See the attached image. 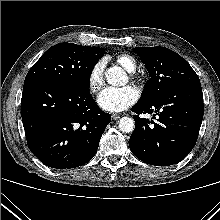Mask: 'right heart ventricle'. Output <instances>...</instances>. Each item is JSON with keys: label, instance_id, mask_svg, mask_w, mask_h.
<instances>
[{"label": "right heart ventricle", "instance_id": "e07e8e85", "mask_svg": "<svg viewBox=\"0 0 220 220\" xmlns=\"http://www.w3.org/2000/svg\"><path fill=\"white\" fill-rule=\"evenodd\" d=\"M116 62L121 65L124 69L132 72L136 69V60L134 57L128 54H120L116 56Z\"/></svg>", "mask_w": 220, "mask_h": 220}]
</instances>
